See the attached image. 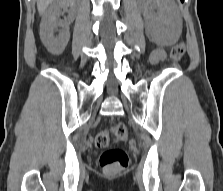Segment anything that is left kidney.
Returning <instances> with one entry per match:
<instances>
[{"label": "left kidney", "instance_id": "5707ae66", "mask_svg": "<svg viewBox=\"0 0 223 191\" xmlns=\"http://www.w3.org/2000/svg\"><path fill=\"white\" fill-rule=\"evenodd\" d=\"M150 37L163 45L174 44L182 28L179 10L173 0H139ZM155 10L157 12H155Z\"/></svg>", "mask_w": 223, "mask_h": 191}]
</instances>
